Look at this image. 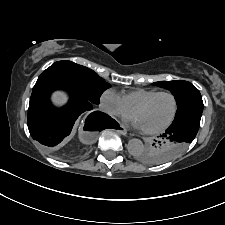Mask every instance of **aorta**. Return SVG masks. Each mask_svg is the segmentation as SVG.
<instances>
[{"label": "aorta", "instance_id": "1", "mask_svg": "<svg viewBox=\"0 0 225 225\" xmlns=\"http://www.w3.org/2000/svg\"><path fill=\"white\" fill-rule=\"evenodd\" d=\"M127 149L131 155L136 156L144 150V145L140 139L133 138L129 140Z\"/></svg>", "mask_w": 225, "mask_h": 225}]
</instances>
